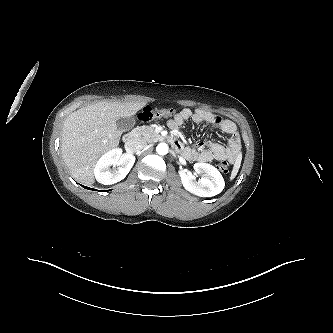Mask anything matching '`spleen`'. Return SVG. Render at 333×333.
Segmentation results:
<instances>
[{"label": "spleen", "instance_id": "1", "mask_svg": "<svg viewBox=\"0 0 333 333\" xmlns=\"http://www.w3.org/2000/svg\"><path fill=\"white\" fill-rule=\"evenodd\" d=\"M240 164H241V155H239L235 160L233 170H232V173H231V179H234L236 177V175L239 171V168H240Z\"/></svg>", "mask_w": 333, "mask_h": 333}]
</instances>
